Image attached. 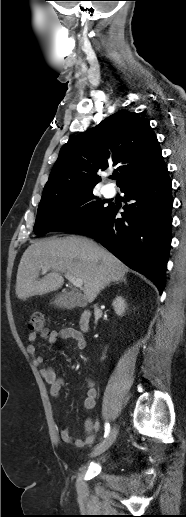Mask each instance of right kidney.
I'll return each instance as SVG.
<instances>
[{"label":"right kidney","instance_id":"right-kidney-1","mask_svg":"<svg viewBox=\"0 0 186 517\" xmlns=\"http://www.w3.org/2000/svg\"><path fill=\"white\" fill-rule=\"evenodd\" d=\"M115 313L118 316H122L125 312L126 303L125 300L121 296H117L112 303Z\"/></svg>","mask_w":186,"mask_h":517}]
</instances>
